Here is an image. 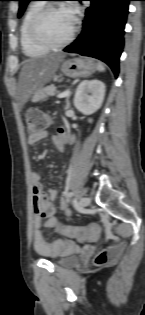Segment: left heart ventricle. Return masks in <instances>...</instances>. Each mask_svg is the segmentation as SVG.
Returning <instances> with one entry per match:
<instances>
[{
    "mask_svg": "<svg viewBox=\"0 0 145 315\" xmlns=\"http://www.w3.org/2000/svg\"><path fill=\"white\" fill-rule=\"evenodd\" d=\"M73 25V18L64 9H57L45 15L40 24V33L50 42H60L69 35Z\"/></svg>",
    "mask_w": 145,
    "mask_h": 315,
    "instance_id": "1",
    "label": "left heart ventricle"
}]
</instances>
